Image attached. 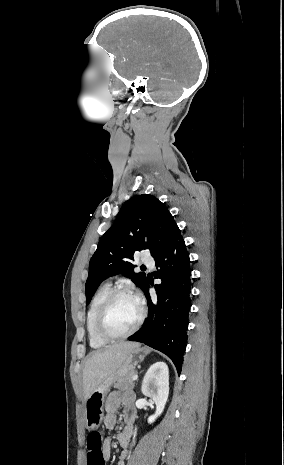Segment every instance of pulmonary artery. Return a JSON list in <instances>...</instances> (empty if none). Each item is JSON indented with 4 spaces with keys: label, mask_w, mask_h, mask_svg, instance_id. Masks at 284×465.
I'll return each mask as SVG.
<instances>
[{
    "label": "pulmonary artery",
    "mask_w": 284,
    "mask_h": 465,
    "mask_svg": "<svg viewBox=\"0 0 284 465\" xmlns=\"http://www.w3.org/2000/svg\"><path fill=\"white\" fill-rule=\"evenodd\" d=\"M152 260H153V257H152L151 254H141V255L139 256V261H140L141 263H151Z\"/></svg>",
    "instance_id": "pulmonary-artery-1"
}]
</instances>
